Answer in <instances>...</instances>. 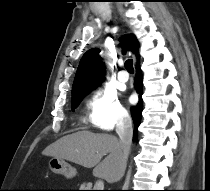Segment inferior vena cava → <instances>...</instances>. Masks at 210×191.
Returning a JSON list of instances; mask_svg holds the SVG:
<instances>
[{"label":"inferior vena cava","instance_id":"inferior-vena-cava-1","mask_svg":"<svg viewBox=\"0 0 210 191\" xmlns=\"http://www.w3.org/2000/svg\"><path fill=\"white\" fill-rule=\"evenodd\" d=\"M116 132L119 136V143L121 148L120 166H119V180L124 175L128 155L131 148L133 128L132 119L128 113L122 114L116 124Z\"/></svg>","mask_w":210,"mask_h":191}]
</instances>
